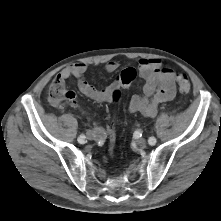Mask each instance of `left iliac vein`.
Returning a JSON list of instances; mask_svg holds the SVG:
<instances>
[{"label": "left iliac vein", "mask_w": 221, "mask_h": 221, "mask_svg": "<svg viewBox=\"0 0 221 221\" xmlns=\"http://www.w3.org/2000/svg\"><path fill=\"white\" fill-rule=\"evenodd\" d=\"M137 145L139 146H145L146 145V140L144 138H138L136 140Z\"/></svg>", "instance_id": "4c4485c4"}]
</instances>
